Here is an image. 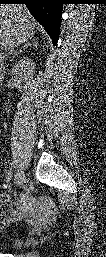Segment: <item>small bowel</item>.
Masks as SVG:
<instances>
[{
	"label": "small bowel",
	"instance_id": "1",
	"mask_svg": "<svg viewBox=\"0 0 106 257\" xmlns=\"http://www.w3.org/2000/svg\"><path fill=\"white\" fill-rule=\"evenodd\" d=\"M37 212L36 205L31 201H26L21 206H15L9 198L2 197L0 204V226L3 228L7 223L23 218H33ZM26 213H29V216Z\"/></svg>",
	"mask_w": 106,
	"mask_h": 257
}]
</instances>
